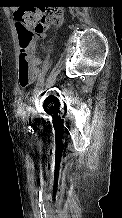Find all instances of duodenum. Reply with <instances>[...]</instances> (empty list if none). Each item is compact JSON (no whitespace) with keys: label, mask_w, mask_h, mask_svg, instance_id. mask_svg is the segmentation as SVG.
<instances>
[{"label":"duodenum","mask_w":122,"mask_h":218,"mask_svg":"<svg viewBox=\"0 0 122 218\" xmlns=\"http://www.w3.org/2000/svg\"><path fill=\"white\" fill-rule=\"evenodd\" d=\"M41 64V61L39 60V65ZM39 67V66H38Z\"/></svg>","instance_id":"obj_1"}]
</instances>
